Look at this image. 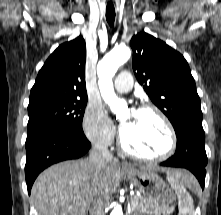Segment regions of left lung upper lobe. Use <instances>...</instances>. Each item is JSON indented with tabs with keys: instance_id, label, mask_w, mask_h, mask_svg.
Returning a JSON list of instances; mask_svg holds the SVG:
<instances>
[{
	"instance_id": "5c2ea615",
	"label": "left lung upper lobe",
	"mask_w": 221,
	"mask_h": 215,
	"mask_svg": "<svg viewBox=\"0 0 221 215\" xmlns=\"http://www.w3.org/2000/svg\"><path fill=\"white\" fill-rule=\"evenodd\" d=\"M130 44L138 82L168 117L176 134L184 125H202L200 98L183 55L145 32L134 35Z\"/></svg>"
}]
</instances>
